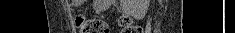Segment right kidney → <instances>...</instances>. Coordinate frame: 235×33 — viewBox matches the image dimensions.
<instances>
[{"mask_svg": "<svg viewBox=\"0 0 235 33\" xmlns=\"http://www.w3.org/2000/svg\"><path fill=\"white\" fill-rule=\"evenodd\" d=\"M121 6L128 15L141 18L147 12L149 0H122Z\"/></svg>", "mask_w": 235, "mask_h": 33, "instance_id": "right-kidney-1", "label": "right kidney"}]
</instances>
